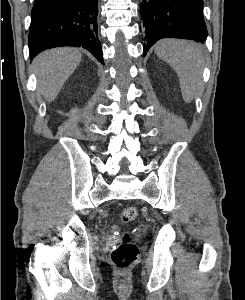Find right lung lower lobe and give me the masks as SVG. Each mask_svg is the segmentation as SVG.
<instances>
[{
    "label": "right lung lower lobe",
    "mask_w": 245,
    "mask_h": 300,
    "mask_svg": "<svg viewBox=\"0 0 245 300\" xmlns=\"http://www.w3.org/2000/svg\"><path fill=\"white\" fill-rule=\"evenodd\" d=\"M98 0H35L28 35L30 54L58 46L83 47L103 63L97 38Z\"/></svg>",
    "instance_id": "obj_1"
}]
</instances>
